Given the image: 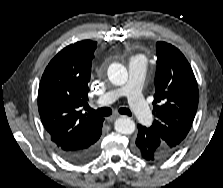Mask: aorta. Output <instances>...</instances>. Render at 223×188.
<instances>
[{
  "label": "aorta",
  "mask_w": 223,
  "mask_h": 188,
  "mask_svg": "<svg viewBox=\"0 0 223 188\" xmlns=\"http://www.w3.org/2000/svg\"><path fill=\"white\" fill-rule=\"evenodd\" d=\"M108 78L114 85H124L128 80L127 69L120 63H112L108 68ZM115 130L124 135H130L135 131V123L129 117H120L114 123Z\"/></svg>",
  "instance_id": "obj_1"
}]
</instances>
